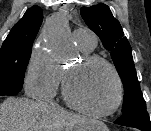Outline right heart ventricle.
<instances>
[{"label": "right heart ventricle", "mask_w": 151, "mask_h": 131, "mask_svg": "<svg viewBox=\"0 0 151 131\" xmlns=\"http://www.w3.org/2000/svg\"><path fill=\"white\" fill-rule=\"evenodd\" d=\"M81 51L84 53V54H89L92 50H86L82 47H80Z\"/></svg>", "instance_id": "e07e8e85"}]
</instances>
